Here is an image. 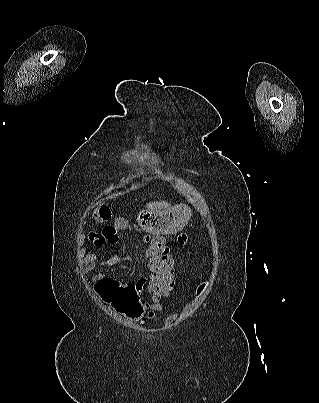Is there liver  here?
I'll return each mask as SVG.
<instances>
[{
    "mask_svg": "<svg viewBox=\"0 0 319 403\" xmlns=\"http://www.w3.org/2000/svg\"><path fill=\"white\" fill-rule=\"evenodd\" d=\"M170 206V204L164 202V201H159V202H154V203H149L147 204V208L149 210H161V209H165L168 208Z\"/></svg>",
    "mask_w": 319,
    "mask_h": 403,
    "instance_id": "liver-1",
    "label": "liver"
}]
</instances>
